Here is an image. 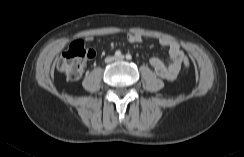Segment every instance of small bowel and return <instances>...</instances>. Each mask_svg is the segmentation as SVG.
Here are the masks:
<instances>
[{"mask_svg":"<svg viewBox=\"0 0 244 157\" xmlns=\"http://www.w3.org/2000/svg\"><path fill=\"white\" fill-rule=\"evenodd\" d=\"M91 39V37L88 38L89 41ZM126 39L130 43L142 42V36L139 34L128 33L126 34ZM159 43L169 50L168 62H164L158 57H152L149 61L150 65L158 77L166 80H174L180 73L184 52L179 44L171 38L163 37L159 40Z\"/></svg>","mask_w":244,"mask_h":157,"instance_id":"small-bowel-1","label":"small bowel"}]
</instances>
